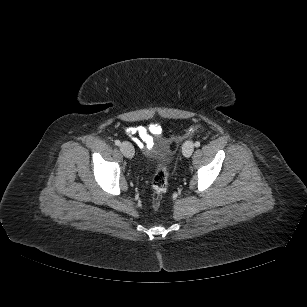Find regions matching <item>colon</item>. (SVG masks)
<instances>
[{
    "label": "colon",
    "instance_id": "colon-1",
    "mask_svg": "<svg viewBox=\"0 0 307 307\" xmlns=\"http://www.w3.org/2000/svg\"><path fill=\"white\" fill-rule=\"evenodd\" d=\"M195 126L188 130V134L194 132ZM169 179V167L166 161H162L152 179V186L154 190L152 205L155 210L160 207L162 195L166 192Z\"/></svg>",
    "mask_w": 307,
    "mask_h": 307
}]
</instances>
